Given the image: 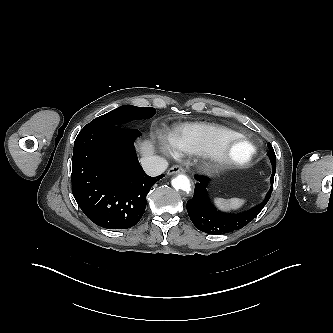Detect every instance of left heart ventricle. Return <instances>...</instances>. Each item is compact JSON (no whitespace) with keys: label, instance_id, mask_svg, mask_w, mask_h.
<instances>
[{"label":"left heart ventricle","instance_id":"b2bd125f","mask_svg":"<svg viewBox=\"0 0 333 333\" xmlns=\"http://www.w3.org/2000/svg\"><path fill=\"white\" fill-rule=\"evenodd\" d=\"M244 151L243 148L238 149V153H242Z\"/></svg>","mask_w":333,"mask_h":333}]
</instances>
